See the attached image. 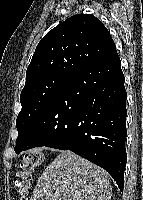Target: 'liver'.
<instances>
[{"label": "liver", "mask_w": 143, "mask_h": 200, "mask_svg": "<svg viewBox=\"0 0 143 200\" xmlns=\"http://www.w3.org/2000/svg\"><path fill=\"white\" fill-rule=\"evenodd\" d=\"M112 186L106 171L62 151L39 177L30 200H110Z\"/></svg>", "instance_id": "1"}]
</instances>
